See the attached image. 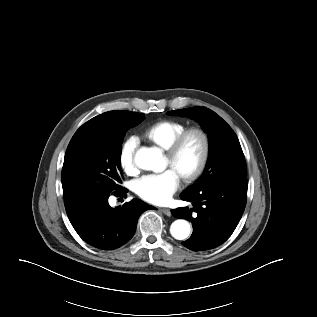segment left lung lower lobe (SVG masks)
<instances>
[{"mask_svg":"<svg viewBox=\"0 0 317 317\" xmlns=\"http://www.w3.org/2000/svg\"><path fill=\"white\" fill-rule=\"evenodd\" d=\"M180 198L193 203L191 209L172 210L174 217L192 222L193 233L182 244L192 251L210 250L224 243L238 225L246 205L247 180L217 182L199 191H184Z\"/></svg>","mask_w":317,"mask_h":317,"instance_id":"left-lung-lower-lobe-1","label":"left lung lower lobe"}]
</instances>
